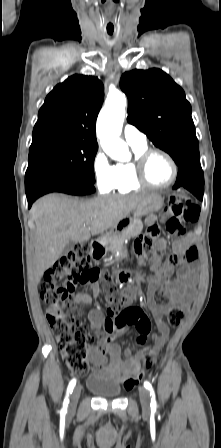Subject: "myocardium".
Returning <instances> with one entry per match:
<instances>
[{"label": "myocardium", "instance_id": "myocardium-1", "mask_svg": "<svg viewBox=\"0 0 221 448\" xmlns=\"http://www.w3.org/2000/svg\"><path fill=\"white\" fill-rule=\"evenodd\" d=\"M160 154L164 156L169 163L172 166L173 169V176L172 178L165 184H154L150 181L147 175V166L150 158L155 155ZM134 165V171H135V178L138 183H140L143 186L154 188V189H165L170 187L175 183V181L178 178L179 175V166L176 162V160L170 155L168 152L162 149L158 148H149L137 155L133 162Z\"/></svg>", "mask_w": 221, "mask_h": 448}]
</instances>
